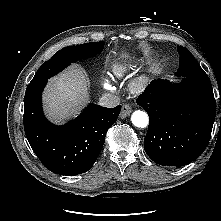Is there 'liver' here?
Masks as SVG:
<instances>
[{"mask_svg": "<svg viewBox=\"0 0 221 221\" xmlns=\"http://www.w3.org/2000/svg\"><path fill=\"white\" fill-rule=\"evenodd\" d=\"M86 72L73 65L51 79L44 95V109L48 118L63 123L76 116L89 101Z\"/></svg>", "mask_w": 221, "mask_h": 221, "instance_id": "obj_1", "label": "liver"}]
</instances>
